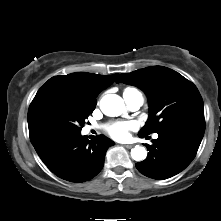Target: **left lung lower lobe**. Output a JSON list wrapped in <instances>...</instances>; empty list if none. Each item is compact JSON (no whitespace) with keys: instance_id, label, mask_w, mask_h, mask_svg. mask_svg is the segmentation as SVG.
I'll return each instance as SVG.
<instances>
[{"instance_id":"obj_1","label":"left lung lower lobe","mask_w":221,"mask_h":221,"mask_svg":"<svg viewBox=\"0 0 221 221\" xmlns=\"http://www.w3.org/2000/svg\"><path fill=\"white\" fill-rule=\"evenodd\" d=\"M204 131L205 123L196 122L180 123L159 131L153 145H146L148 156L136 163L137 169L157 180L180 173L194 159Z\"/></svg>"}]
</instances>
